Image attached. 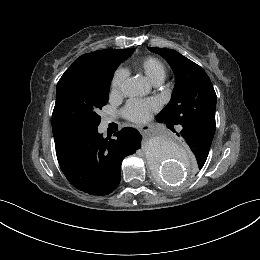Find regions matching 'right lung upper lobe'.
<instances>
[{
	"mask_svg": "<svg viewBox=\"0 0 260 260\" xmlns=\"http://www.w3.org/2000/svg\"><path fill=\"white\" fill-rule=\"evenodd\" d=\"M124 50L125 49H121V50L105 49V50L95 51L93 53L84 54V55L80 56L78 59H76L72 63V65L68 68L67 71L72 70L74 68H77V67L81 66L84 63L95 61V60L101 59L103 57H106L108 55L115 54V53H121Z\"/></svg>",
	"mask_w": 260,
	"mask_h": 260,
	"instance_id": "right-lung-upper-lobe-1",
	"label": "right lung upper lobe"
}]
</instances>
